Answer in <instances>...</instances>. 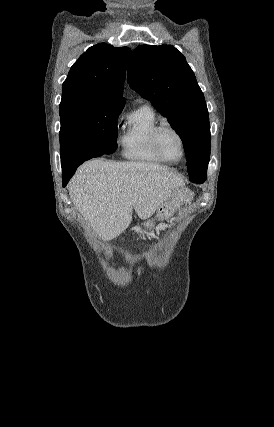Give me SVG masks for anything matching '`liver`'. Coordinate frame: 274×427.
I'll use <instances>...</instances> for the list:
<instances>
[{
  "instance_id": "obj_1",
  "label": "liver",
  "mask_w": 274,
  "mask_h": 427,
  "mask_svg": "<svg viewBox=\"0 0 274 427\" xmlns=\"http://www.w3.org/2000/svg\"><path fill=\"white\" fill-rule=\"evenodd\" d=\"M184 186L183 178L166 166L99 158L76 170L68 190L76 210L109 241L131 223L133 208L148 219L168 200L174 208L189 202L192 192Z\"/></svg>"
}]
</instances>
